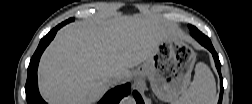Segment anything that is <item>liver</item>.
I'll list each match as a JSON object with an SVG mask.
<instances>
[{
    "instance_id": "obj_1",
    "label": "liver",
    "mask_w": 252,
    "mask_h": 104,
    "mask_svg": "<svg viewBox=\"0 0 252 104\" xmlns=\"http://www.w3.org/2000/svg\"><path fill=\"white\" fill-rule=\"evenodd\" d=\"M174 33L159 17L114 15L66 25L43 53L39 89L54 104H92L114 85L109 76L131 77L159 43Z\"/></svg>"
}]
</instances>
